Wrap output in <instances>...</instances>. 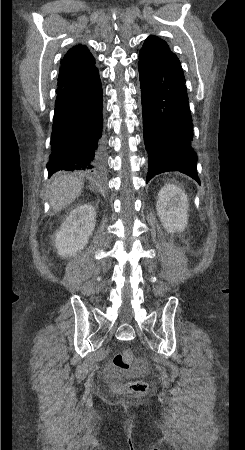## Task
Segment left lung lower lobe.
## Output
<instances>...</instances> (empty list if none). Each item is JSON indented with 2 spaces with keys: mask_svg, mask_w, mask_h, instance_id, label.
Masks as SVG:
<instances>
[{
  "mask_svg": "<svg viewBox=\"0 0 245 450\" xmlns=\"http://www.w3.org/2000/svg\"><path fill=\"white\" fill-rule=\"evenodd\" d=\"M144 141L148 152L146 183L167 171L182 172L200 184L193 124L185 80L167 64L138 65Z\"/></svg>",
  "mask_w": 245,
  "mask_h": 450,
  "instance_id": "obj_1",
  "label": "left lung lower lobe"
}]
</instances>
